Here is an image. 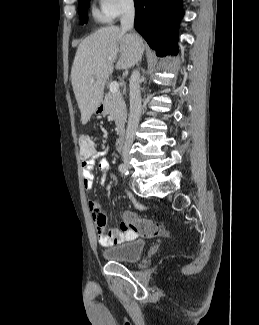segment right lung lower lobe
Wrapping results in <instances>:
<instances>
[{
    "label": "right lung lower lobe",
    "instance_id": "98d812e1",
    "mask_svg": "<svg viewBox=\"0 0 259 325\" xmlns=\"http://www.w3.org/2000/svg\"><path fill=\"white\" fill-rule=\"evenodd\" d=\"M135 29L157 55L175 53L182 0H134Z\"/></svg>",
    "mask_w": 259,
    "mask_h": 325
}]
</instances>
